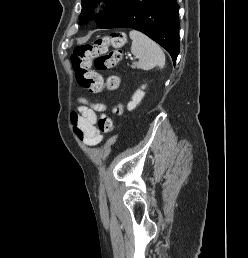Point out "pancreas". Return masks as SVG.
Wrapping results in <instances>:
<instances>
[{
  "mask_svg": "<svg viewBox=\"0 0 248 258\" xmlns=\"http://www.w3.org/2000/svg\"><path fill=\"white\" fill-rule=\"evenodd\" d=\"M136 67H138V63L136 62L132 63L131 68L135 69Z\"/></svg>",
  "mask_w": 248,
  "mask_h": 258,
  "instance_id": "1",
  "label": "pancreas"
}]
</instances>
